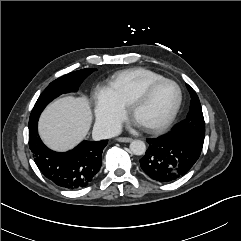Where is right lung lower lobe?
<instances>
[{
    "label": "right lung lower lobe",
    "instance_id": "98d812e1",
    "mask_svg": "<svg viewBox=\"0 0 241 241\" xmlns=\"http://www.w3.org/2000/svg\"><path fill=\"white\" fill-rule=\"evenodd\" d=\"M37 124L29 126V147L42 174L65 189L86 187L101 167L102 151L108 141H83L73 150L58 153L43 144Z\"/></svg>",
    "mask_w": 241,
    "mask_h": 241
}]
</instances>
